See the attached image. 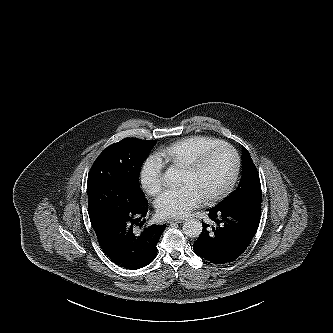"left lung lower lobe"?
<instances>
[{
  "label": "left lung lower lobe",
  "instance_id": "1",
  "mask_svg": "<svg viewBox=\"0 0 333 333\" xmlns=\"http://www.w3.org/2000/svg\"><path fill=\"white\" fill-rule=\"evenodd\" d=\"M213 225L202 222L203 230L194 242V252L214 264H225L242 255L256 234L261 216V199L209 210Z\"/></svg>",
  "mask_w": 333,
  "mask_h": 333
}]
</instances>
